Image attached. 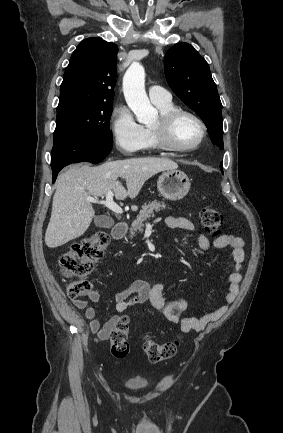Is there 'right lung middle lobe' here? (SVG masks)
Instances as JSON below:
<instances>
[{
    "mask_svg": "<svg viewBox=\"0 0 283 433\" xmlns=\"http://www.w3.org/2000/svg\"><path fill=\"white\" fill-rule=\"evenodd\" d=\"M113 102H94L76 104L57 110L54 140L75 138L97 142L112 143L110 117Z\"/></svg>",
    "mask_w": 283,
    "mask_h": 433,
    "instance_id": "obj_1",
    "label": "right lung middle lobe"
}]
</instances>
